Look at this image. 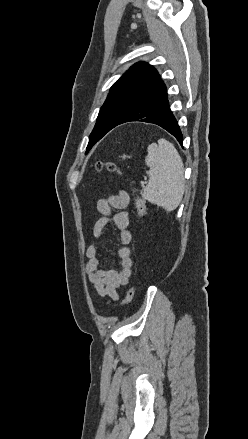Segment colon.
Returning a JSON list of instances; mask_svg holds the SVG:
<instances>
[{"label":"colon","mask_w":248,"mask_h":439,"mask_svg":"<svg viewBox=\"0 0 248 439\" xmlns=\"http://www.w3.org/2000/svg\"><path fill=\"white\" fill-rule=\"evenodd\" d=\"M95 168L98 171H100L102 169H106L107 171H109L111 173L121 174L120 168L114 162H111V161H98L95 164ZM131 187H132V193L134 194V197H135V205H136L137 211L139 213V216L141 218H144L147 215L146 204H145L144 200L140 197L138 189L133 181L131 182ZM134 293H135V287L130 286V288L126 292V295L124 298V302H123L124 305H128L132 301Z\"/></svg>","instance_id":"1"}]
</instances>
